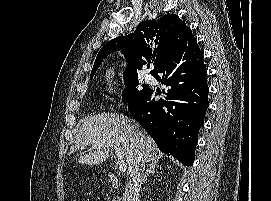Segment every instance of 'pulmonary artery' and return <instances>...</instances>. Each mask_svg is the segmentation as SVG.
Instances as JSON below:
<instances>
[{"instance_id": "pulmonary-artery-1", "label": "pulmonary artery", "mask_w": 271, "mask_h": 201, "mask_svg": "<svg viewBox=\"0 0 271 201\" xmlns=\"http://www.w3.org/2000/svg\"><path fill=\"white\" fill-rule=\"evenodd\" d=\"M145 80L148 82H151V81H153V77L151 75H146Z\"/></svg>"}]
</instances>
